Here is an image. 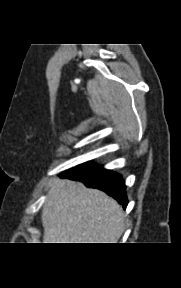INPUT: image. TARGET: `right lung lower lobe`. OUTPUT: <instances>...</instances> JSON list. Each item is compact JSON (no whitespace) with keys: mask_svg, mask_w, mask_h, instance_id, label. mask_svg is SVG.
Segmentation results:
<instances>
[{"mask_svg":"<svg viewBox=\"0 0 181 288\" xmlns=\"http://www.w3.org/2000/svg\"><path fill=\"white\" fill-rule=\"evenodd\" d=\"M64 176L72 180L83 182L87 187L96 188L106 192L117 200L125 209L128 204L125 185L122 176L100 166L72 168Z\"/></svg>","mask_w":181,"mask_h":288,"instance_id":"98d812e1","label":"right lung lower lobe"}]
</instances>
